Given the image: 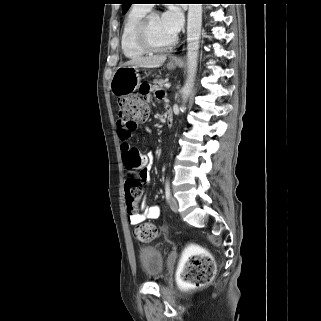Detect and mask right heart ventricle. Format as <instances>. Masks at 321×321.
<instances>
[{
  "mask_svg": "<svg viewBox=\"0 0 321 321\" xmlns=\"http://www.w3.org/2000/svg\"><path fill=\"white\" fill-rule=\"evenodd\" d=\"M149 10L150 9L144 5H134L124 19L120 43L122 52L128 59H137L146 54V51L136 43L135 31L139 21Z\"/></svg>",
  "mask_w": 321,
  "mask_h": 321,
  "instance_id": "right-heart-ventricle-1",
  "label": "right heart ventricle"
}]
</instances>
